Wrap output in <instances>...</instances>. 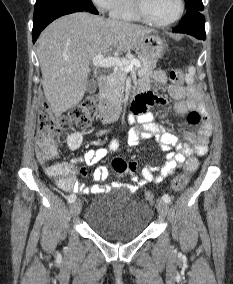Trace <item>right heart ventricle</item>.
<instances>
[{
    "label": "right heart ventricle",
    "mask_w": 233,
    "mask_h": 284,
    "mask_svg": "<svg viewBox=\"0 0 233 284\" xmlns=\"http://www.w3.org/2000/svg\"><path fill=\"white\" fill-rule=\"evenodd\" d=\"M110 16L116 20L138 22L142 19L134 8L133 0H116L110 10Z\"/></svg>",
    "instance_id": "right-heart-ventricle-1"
}]
</instances>
